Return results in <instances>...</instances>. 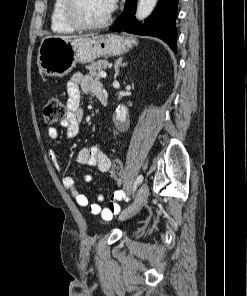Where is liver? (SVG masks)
Instances as JSON below:
<instances>
[{
	"instance_id": "6515ba94",
	"label": "liver",
	"mask_w": 247,
	"mask_h": 296,
	"mask_svg": "<svg viewBox=\"0 0 247 296\" xmlns=\"http://www.w3.org/2000/svg\"><path fill=\"white\" fill-rule=\"evenodd\" d=\"M56 37H60V38L65 39V40L75 38V36H56Z\"/></svg>"
}]
</instances>
